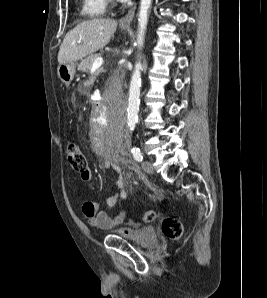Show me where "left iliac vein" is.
<instances>
[{"instance_id": "left-iliac-vein-1", "label": "left iliac vein", "mask_w": 267, "mask_h": 298, "mask_svg": "<svg viewBox=\"0 0 267 298\" xmlns=\"http://www.w3.org/2000/svg\"><path fill=\"white\" fill-rule=\"evenodd\" d=\"M142 168L148 174L153 173V166H152L151 162H149V161H146V160L143 161L142 162Z\"/></svg>"}]
</instances>
